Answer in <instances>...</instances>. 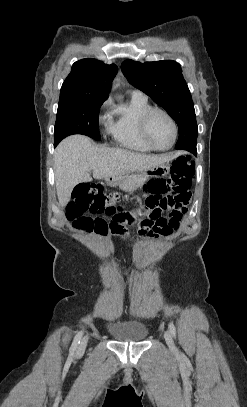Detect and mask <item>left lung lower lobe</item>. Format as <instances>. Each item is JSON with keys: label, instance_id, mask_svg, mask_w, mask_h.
<instances>
[{"label": "left lung lower lobe", "instance_id": "left-lung-lower-lobe-1", "mask_svg": "<svg viewBox=\"0 0 247 407\" xmlns=\"http://www.w3.org/2000/svg\"><path fill=\"white\" fill-rule=\"evenodd\" d=\"M195 155L197 154V150L195 151V153H194Z\"/></svg>", "mask_w": 247, "mask_h": 407}]
</instances>
